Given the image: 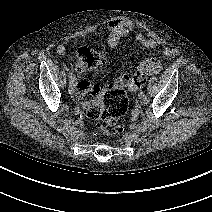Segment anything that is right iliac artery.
<instances>
[{"mask_svg":"<svg viewBox=\"0 0 212 212\" xmlns=\"http://www.w3.org/2000/svg\"><path fill=\"white\" fill-rule=\"evenodd\" d=\"M69 81L70 83L74 82V76L71 73L69 74Z\"/></svg>","mask_w":212,"mask_h":212,"instance_id":"obj_1","label":"right iliac artery"}]
</instances>
